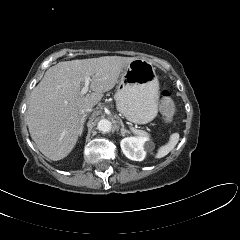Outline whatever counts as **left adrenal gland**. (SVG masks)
Listing matches in <instances>:
<instances>
[{"instance_id": "a2214340", "label": "left adrenal gland", "mask_w": 240, "mask_h": 240, "mask_svg": "<svg viewBox=\"0 0 240 240\" xmlns=\"http://www.w3.org/2000/svg\"><path fill=\"white\" fill-rule=\"evenodd\" d=\"M120 124H121V130H120L121 131V135L125 136V133H129V131L125 129L122 120H120Z\"/></svg>"}]
</instances>
